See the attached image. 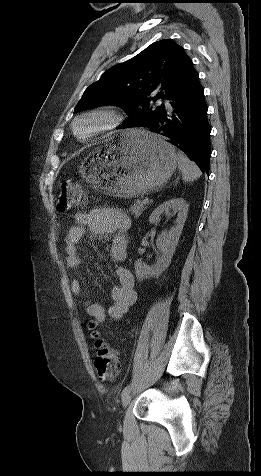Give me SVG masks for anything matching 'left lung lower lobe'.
Instances as JSON below:
<instances>
[{"instance_id":"1","label":"left lung lower lobe","mask_w":261,"mask_h":476,"mask_svg":"<svg viewBox=\"0 0 261 476\" xmlns=\"http://www.w3.org/2000/svg\"><path fill=\"white\" fill-rule=\"evenodd\" d=\"M154 119L143 127L155 129L167 142L183 151L206 173L210 169L211 127L198 72L193 69L181 88Z\"/></svg>"}]
</instances>
